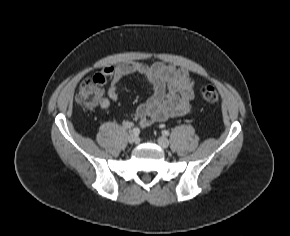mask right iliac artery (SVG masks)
Segmentation results:
<instances>
[{
	"mask_svg": "<svg viewBox=\"0 0 290 236\" xmlns=\"http://www.w3.org/2000/svg\"><path fill=\"white\" fill-rule=\"evenodd\" d=\"M133 133L135 134V135H138L139 133H140V129L139 128H133Z\"/></svg>",
	"mask_w": 290,
	"mask_h": 236,
	"instance_id": "right-iliac-artery-1",
	"label": "right iliac artery"
}]
</instances>
